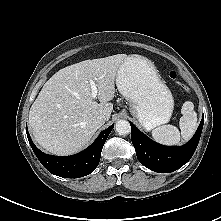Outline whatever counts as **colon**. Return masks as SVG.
<instances>
[{
  "label": "colon",
  "mask_w": 221,
  "mask_h": 221,
  "mask_svg": "<svg viewBox=\"0 0 221 221\" xmlns=\"http://www.w3.org/2000/svg\"><path fill=\"white\" fill-rule=\"evenodd\" d=\"M169 77H170L173 81H177V79H178L177 72H176V71H171V72L169 73Z\"/></svg>",
  "instance_id": "5ec220e1"
}]
</instances>
